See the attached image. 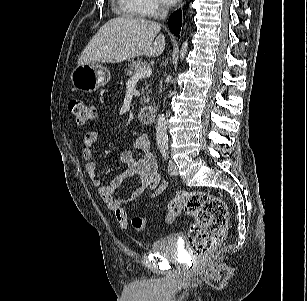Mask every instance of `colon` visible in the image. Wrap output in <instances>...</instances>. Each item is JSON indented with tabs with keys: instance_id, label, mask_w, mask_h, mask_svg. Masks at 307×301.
Listing matches in <instances>:
<instances>
[{
	"instance_id": "5ec220e1",
	"label": "colon",
	"mask_w": 307,
	"mask_h": 301,
	"mask_svg": "<svg viewBox=\"0 0 307 301\" xmlns=\"http://www.w3.org/2000/svg\"><path fill=\"white\" fill-rule=\"evenodd\" d=\"M69 111L78 126H85L96 119L95 105L82 99L69 102ZM194 218L190 225L186 247L190 254L202 256L212 250L222 240L228 220V210L223 199L208 192L179 191L168 202L165 221L173 222L181 213ZM146 218L134 217L132 226L138 231L147 227Z\"/></svg>"
}]
</instances>
